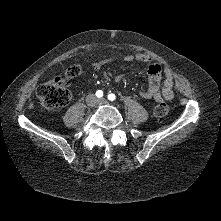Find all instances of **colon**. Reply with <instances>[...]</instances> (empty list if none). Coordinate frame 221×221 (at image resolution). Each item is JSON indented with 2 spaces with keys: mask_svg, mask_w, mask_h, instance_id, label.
I'll return each instance as SVG.
<instances>
[{
  "mask_svg": "<svg viewBox=\"0 0 221 221\" xmlns=\"http://www.w3.org/2000/svg\"><path fill=\"white\" fill-rule=\"evenodd\" d=\"M81 72V66L75 63L52 80L42 83L37 89V97L40 104L46 109H57L67 105L71 100L68 86ZM168 112L169 107L165 103H159L154 108V114L158 118L166 116Z\"/></svg>",
  "mask_w": 221,
  "mask_h": 221,
  "instance_id": "obj_1",
  "label": "colon"
}]
</instances>
